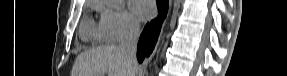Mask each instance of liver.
I'll list each match as a JSON object with an SVG mask.
<instances>
[{"instance_id":"liver-1","label":"liver","mask_w":287,"mask_h":76,"mask_svg":"<svg viewBox=\"0 0 287 76\" xmlns=\"http://www.w3.org/2000/svg\"><path fill=\"white\" fill-rule=\"evenodd\" d=\"M137 71L116 46H103L80 54L74 64L73 76H135ZM109 76V75H108Z\"/></svg>"}]
</instances>
